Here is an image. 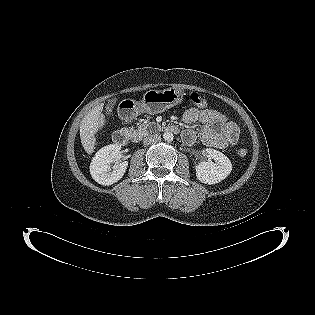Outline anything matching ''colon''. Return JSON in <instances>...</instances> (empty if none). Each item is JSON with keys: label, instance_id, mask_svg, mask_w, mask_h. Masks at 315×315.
Masks as SVG:
<instances>
[{"label": "colon", "instance_id": "1", "mask_svg": "<svg viewBox=\"0 0 315 315\" xmlns=\"http://www.w3.org/2000/svg\"><path fill=\"white\" fill-rule=\"evenodd\" d=\"M188 100L189 102L198 107V108H206L208 106V101L206 98L200 96L199 94L197 93H191L189 96H188ZM248 153L247 149L245 148H241L238 150V154L239 156L241 157H244L246 156Z\"/></svg>", "mask_w": 315, "mask_h": 315}]
</instances>
